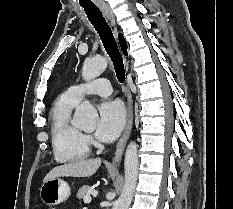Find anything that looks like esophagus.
<instances>
[{
  "instance_id": "34e87169",
  "label": "esophagus",
  "mask_w": 233,
  "mask_h": 209,
  "mask_svg": "<svg viewBox=\"0 0 233 209\" xmlns=\"http://www.w3.org/2000/svg\"><path fill=\"white\" fill-rule=\"evenodd\" d=\"M99 8L101 9L105 17L109 20V22L113 26L114 31L117 32L115 16L110 6L106 4H102V5H99ZM126 97H127V108H128L126 126L124 129L123 135L117 144L115 155L112 160L113 164H117L120 162L126 142L130 136L132 126H133V99H132V94L130 92L128 83H127Z\"/></svg>"
}]
</instances>
